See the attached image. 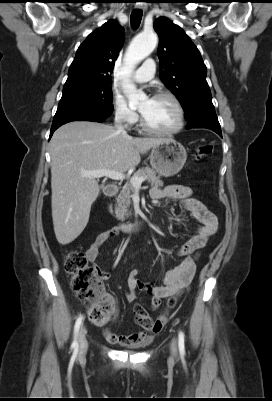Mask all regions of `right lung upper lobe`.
<instances>
[{
  "label": "right lung upper lobe",
  "mask_w": 272,
  "mask_h": 401,
  "mask_svg": "<svg viewBox=\"0 0 272 401\" xmlns=\"http://www.w3.org/2000/svg\"><path fill=\"white\" fill-rule=\"evenodd\" d=\"M123 37L124 30L115 20L92 32L77 50L63 91L111 82L110 74L123 46Z\"/></svg>",
  "instance_id": "right-lung-upper-lobe-1"
}]
</instances>
